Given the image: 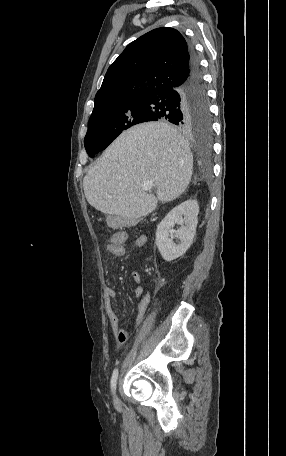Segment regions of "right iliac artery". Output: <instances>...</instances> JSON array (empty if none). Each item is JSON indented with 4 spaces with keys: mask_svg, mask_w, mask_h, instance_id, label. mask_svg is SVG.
Masks as SVG:
<instances>
[{
    "mask_svg": "<svg viewBox=\"0 0 286 456\" xmlns=\"http://www.w3.org/2000/svg\"><path fill=\"white\" fill-rule=\"evenodd\" d=\"M117 378H118V369H115L113 371V374H112V377H111V390H112V392H115V390H116Z\"/></svg>",
    "mask_w": 286,
    "mask_h": 456,
    "instance_id": "obj_1",
    "label": "right iliac artery"
}]
</instances>
